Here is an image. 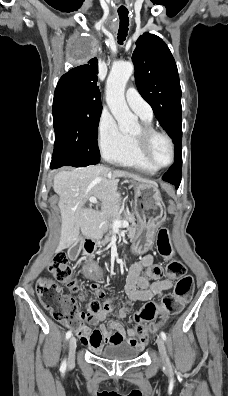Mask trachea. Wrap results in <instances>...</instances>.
Wrapping results in <instances>:
<instances>
[{
  "instance_id": "obj_1",
  "label": "trachea",
  "mask_w": 228,
  "mask_h": 396,
  "mask_svg": "<svg viewBox=\"0 0 228 396\" xmlns=\"http://www.w3.org/2000/svg\"><path fill=\"white\" fill-rule=\"evenodd\" d=\"M119 19H120V26L118 30V43L123 44L126 39L128 33V26H129V17L128 11H118Z\"/></svg>"
}]
</instances>
